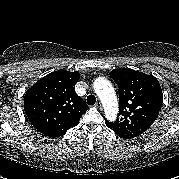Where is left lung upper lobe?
Returning <instances> with one entry per match:
<instances>
[{"instance_id": "obj_1", "label": "left lung upper lobe", "mask_w": 179, "mask_h": 179, "mask_svg": "<svg viewBox=\"0 0 179 179\" xmlns=\"http://www.w3.org/2000/svg\"><path fill=\"white\" fill-rule=\"evenodd\" d=\"M119 87V117L105 120L119 137L131 139L144 133L156 120L163 99L158 80L153 75L131 70L110 72Z\"/></svg>"}]
</instances>
